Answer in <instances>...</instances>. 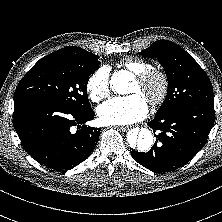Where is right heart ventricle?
Returning a JSON list of instances; mask_svg holds the SVG:
<instances>
[{"mask_svg":"<svg viewBox=\"0 0 222 222\" xmlns=\"http://www.w3.org/2000/svg\"><path fill=\"white\" fill-rule=\"evenodd\" d=\"M121 65L128 71L139 74L152 68V65L139 58H128L121 62Z\"/></svg>","mask_w":222,"mask_h":222,"instance_id":"e07e8e85","label":"right heart ventricle"}]
</instances>
